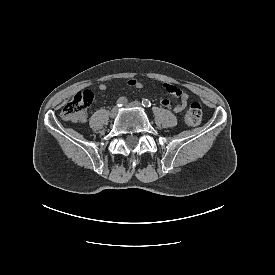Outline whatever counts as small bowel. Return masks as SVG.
Wrapping results in <instances>:
<instances>
[{"label": "small bowel", "instance_id": "small-bowel-1", "mask_svg": "<svg viewBox=\"0 0 275 275\" xmlns=\"http://www.w3.org/2000/svg\"><path fill=\"white\" fill-rule=\"evenodd\" d=\"M127 84H128V86L137 88V89H140L143 87L142 82H140L139 80H137L135 78L129 79L127 81ZM163 88L167 93H169L177 98V103L174 106V111L177 113L182 112L187 107L188 100H189L188 94L186 92H184L183 90H181L180 88H178L177 86L168 84V83L163 84ZM98 89L105 90L106 86L104 84H100L98 86ZM160 104L166 108L171 107L170 102L163 96L160 97Z\"/></svg>", "mask_w": 275, "mask_h": 275}]
</instances>
